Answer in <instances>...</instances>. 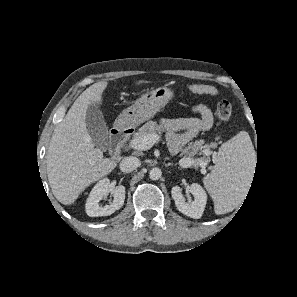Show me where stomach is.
Masks as SVG:
<instances>
[{
	"label": "stomach",
	"mask_w": 297,
	"mask_h": 297,
	"mask_svg": "<svg viewBox=\"0 0 297 297\" xmlns=\"http://www.w3.org/2000/svg\"><path fill=\"white\" fill-rule=\"evenodd\" d=\"M174 97V91L166 86L151 89L117 119L116 127L136 126L152 117Z\"/></svg>",
	"instance_id": "stomach-1"
}]
</instances>
